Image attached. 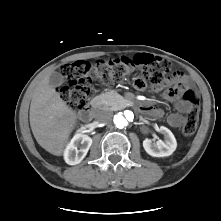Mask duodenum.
<instances>
[{
  "label": "duodenum",
  "mask_w": 221,
  "mask_h": 221,
  "mask_svg": "<svg viewBox=\"0 0 221 221\" xmlns=\"http://www.w3.org/2000/svg\"><path fill=\"white\" fill-rule=\"evenodd\" d=\"M98 104H99V99L98 97H94L92 98L91 102H90V105L87 109L83 110L81 113H80V119L82 121H88L91 119L92 117V114L94 112V110L98 107ZM138 109L140 111H144V108L142 107H138Z\"/></svg>",
  "instance_id": "410a0bca"
}]
</instances>
